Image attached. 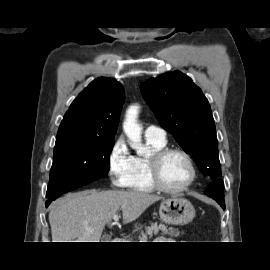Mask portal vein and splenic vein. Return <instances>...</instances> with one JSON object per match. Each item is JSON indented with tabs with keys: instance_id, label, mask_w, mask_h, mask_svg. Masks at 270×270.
Instances as JSON below:
<instances>
[{
	"instance_id": "obj_1",
	"label": "portal vein and splenic vein",
	"mask_w": 270,
	"mask_h": 270,
	"mask_svg": "<svg viewBox=\"0 0 270 270\" xmlns=\"http://www.w3.org/2000/svg\"><path fill=\"white\" fill-rule=\"evenodd\" d=\"M113 219H114V221H118V220H119V215H118V214H115V215L113 216Z\"/></svg>"
}]
</instances>
